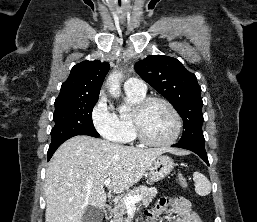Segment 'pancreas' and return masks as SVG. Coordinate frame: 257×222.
<instances>
[{"mask_svg":"<svg viewBox=\"0 0 257 222\" xmlns=\"http://www.w3.org/2000/svg\"><path fill=\"white\" fill-rule=\"evenodd\" d=\"M157 190L154 188H149L147 186H140L130 190L125 196L121 197L114 205V217L110 222H126L123 217L127 212V207L124 204V199L129 196L141 195L142 204L148 206L152 199L156 196Z\"/></svg>","mask_w":257,"mask_h":222,"instance_id":"cf45deb5","label":"pancreas"}]
</instances>
